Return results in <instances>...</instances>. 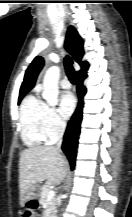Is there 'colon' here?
I'll return each mask as SVG.
<instances>
[{"label": "colon", "instance_id": "1", "mask_svg": "<svg viewBox=\"0 0 132 217\" xmlns=\"http://www.w3.org/2000/svg\"><path fill=\"white\" fill-rule=\"evenodd\" d=\"M36 208V203L34 201H30L22 211L21 217H34Z\"/></svg>", "mask_w": 132, "mask_h": 217}]
</instances>
